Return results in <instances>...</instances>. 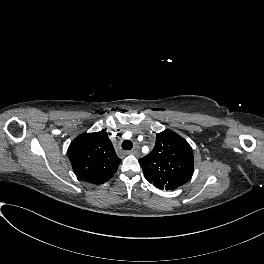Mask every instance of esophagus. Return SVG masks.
<instances>
[{"mask_svg":"<svg viewBox=\"0 0 264 264\" xmlns=\"http://www.w3.org/2000/svg\"><path fill=\"white\" fill-rule=\"evenodd\" d=\"M136 152H137L136 150H130V151H126V154L127 155H130V154L134 155V154H136Z\"/></svg>","mask_w":264,"mask_h":264,"instance_id":"esophagus-1","label":"esophagus"}]
</instances>
